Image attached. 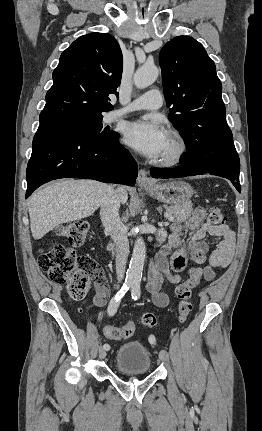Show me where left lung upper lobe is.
Masks as SVG:
<instances>
[{
	"instance_id": "obj_1",
	"label": "left lung upper lobe",
	"mask_w": 262,
	"mask_h": 431,
	"mask_svg": "<svg viewBox=\"0 0 262 431\" xmlns=\"http://www.w3.org/2000/svg\"><path fill=\"white\" fill-rule=\"evenodd\" d=\"M169 119L188 146L182 163L214 170L224 158L239 159L214 62L192 37L178 36L160 51Z\"/></svg>"
}]
</instances>
